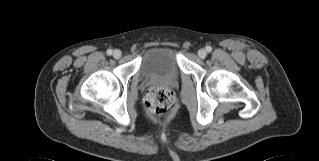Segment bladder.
Wrapping results in <instances>:
<instances>
[{
	"label": "bladder",
	"instance_id": "31cf9c89",
	"mask_svg": "<svg viewBox=\"0 0 319 161\" xmlns=\"http://www.w3.org/2000/svg\"><path fill=\"white\" fill-rule=\"evenodd\" d=\"M140 73L144 78L158 76L178 78L180 68L176 47L169 44L147 47L141 57Z\"/></svg>",
	"mask_w": 319,
	"mask_h": 161
}]
</instances>
